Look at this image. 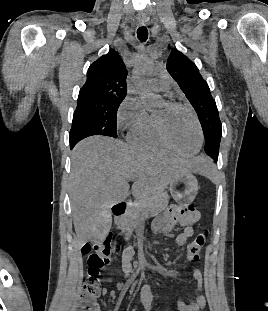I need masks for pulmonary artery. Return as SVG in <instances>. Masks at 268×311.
Wrapping results in <instances>:
<instances>
[{
  "mask_svg": "<svg viewBox=\"0 0 268 311\" xmlns=\"http://www.w3.org/2000/svg\"><path fill=\"white\" fill-rule=\"evenodd\" d=\"M152 85L157 91L168 92L170 88L169 76L165 73H157L152 79Z\"/></svg>",
  "mask_w": 268,
  "mask_h": 311,
  "instance_id": "pulmonary-artery-1",
  "label": "pulmonary artery"
}]
</instances>
